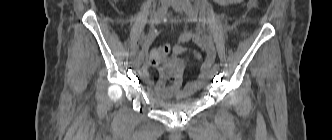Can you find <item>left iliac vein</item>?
<instances>
[{
	"mask_svg": "<svg viewBox=\"0 0 332 140\" xmlns=\"http://www.w3.org/2000/svg\"><path fill=\"white\" fill-rule=\"evenodd\" d=\"M170 5L178 13H183V11L185 10L184 9V0H170ZM212 72H213V74H216L218 72V69L213 67Z\"/></svg>",
	"mask_w": 332,
	"mask_h": 140,
	"instance_id": "1",
	"label": "left iliac vein"
}]
</instances>
